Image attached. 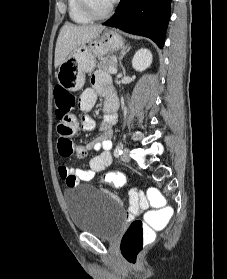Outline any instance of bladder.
I'll return each mask as SVG.
<instances>
[{"mask_svg": "<svg viewBox=\"0 0 227 279\" xmlns=\"http://www.w3.org/2000/svg\"><path fill=\"white\" fill-rule=\"evenodd\" d=\"M64 201L76 230L88 231L98 237L114 239L123 226L121 205L93 186L65 191Z\"/></svg>", "mask_w": 227, "mask_h": 279, "instance_id": "obj_1", "label": "bladder"}]
</instances>
